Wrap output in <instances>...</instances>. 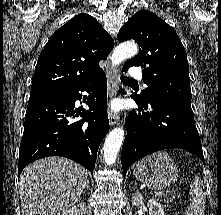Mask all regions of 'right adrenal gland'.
I'll return each instance as SVG.
<instances>
[{
	"label": "right adrenal gland",
	"mask_w": 221,
	"mask_h": 215,
	"mask_svg": "<svg viewBox=\"0 0 221 215\" xmlns=\"http://www.w3.org/2000/svg\"><path fill=\"white\" fill-rule=\"evenodd\" d=\"M85 187L88 189L89 188V180L86 181Z\"/></svg>",
	"instance_id": "obj_1"
}]
</instances>
